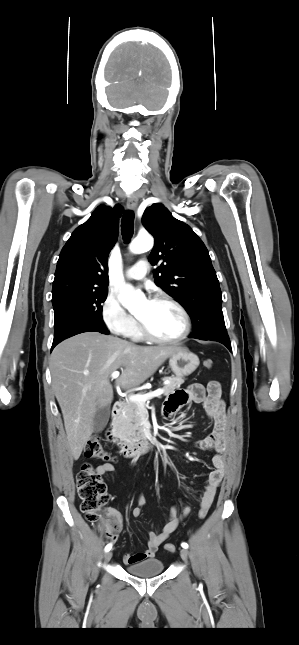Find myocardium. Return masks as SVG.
Wrapping results in <instances>:
<instances>
[{"label":"myocardium","mask_w":299,"mask_h":645,"mask_svg":"<svg viewBox=\"0 0 299 645\" xmlns=\"http://www.w3.org/2000/svg\"><path fill=\"white\" fill-rule=\"evenodd\" d=\"M152 301L153 302H165V303H168V304L172 305L174 308H176L177 311L182 316L183 329H182L181 333L179 335L175 336V337L161 338V337H158V336L154 335L149 330L147 325L140 318L136 317L137 324H138V329H139L142 337L145 338L146 340L151 341V342L161 343V344L178 343V342L184 340L190 334V331H191V318H190V315H189L188 311L185 309V307L181 303H179L177 300L172 298L171 296L165 295V294L157 295Z\"/></svg>","instance_id":"f54148a6"}]
</instances>
